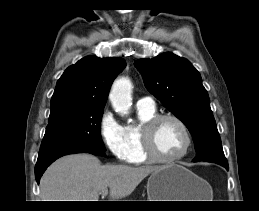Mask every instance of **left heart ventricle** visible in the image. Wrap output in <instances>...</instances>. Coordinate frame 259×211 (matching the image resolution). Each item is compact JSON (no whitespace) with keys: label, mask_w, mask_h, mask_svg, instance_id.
I'll return each instance as SVG.
<instances>
[{"label":"left heart ventricle","mask_w":259,"mask_h":211,"mask_svg":"<svg viewBox=\"0 0 259 211\" xmlns=\"http://www.w3.org/2000/svg\"><path fill=\"white\" fill-rule=\"evenodd\" d=\"M186 143L180 126L172 120L162 121L155 129L154 146L156 152L166 158L178 155Z\"/></svg>","instance_id":"left-heart-ventricle-1"}]
</instances>
